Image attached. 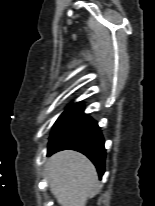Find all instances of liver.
Returning <instances> with one entry per match:
<instances>
[{"label":"liver","mask_w":155,"mask_h":206,"mask_svg":"<svg viewBox=\"0 0 155 206\" xmlns=\"http://www.w3.org/2000/svg\"><path fill=\"white\" fill-rule=\"evenodd\" d=\"M51 192L61 206H86L98 183L92 162L79 152L66 150L54 154L47 162Z\"/></svg>","instance_id":"liver-1"}]
</instances>
